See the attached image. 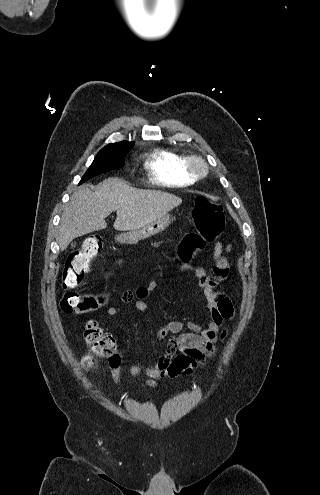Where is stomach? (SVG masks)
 I'll return each instance as SVG.
<instances>
[{
	"label": "stomach",
	"instance_id": "stomach-1",
	"mask_svg": "<svg viewBox=\"0 0 320 495\" xmlns=\"http://www.w3.org/2000/svg\"><path fill=\"white\" fill-rule=\"evenodd\" d=\"M171 223V217L168 214L156 219L155 221L134 230L125 231L116 236V241L123 244H136L138 241L158 234L165 230Z\"/></svg>",
	"mask_w": 320,
	"mask_h": 495
}]
</instances>
